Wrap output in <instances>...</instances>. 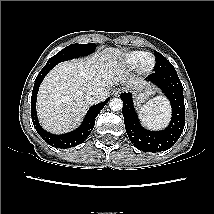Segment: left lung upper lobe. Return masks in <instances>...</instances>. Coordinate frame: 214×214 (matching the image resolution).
I'll return each mask as SVG.
<instances>
[{"instance_id":"obj_1","label":"left lung upper lobe","mask_w":214,"mask_h":214,"mask_svg":"<svg viewBox=\"0 0 214 214\" xmlns=\"http://www.w3.org/2000/svg\"><path fill=\"white\" fill-rule=\"evenodd\" d=\"M156 66L154 68L157 72L176 71L172 64L160 53L155 51Z\"/></svg>"}]
</instances>
